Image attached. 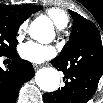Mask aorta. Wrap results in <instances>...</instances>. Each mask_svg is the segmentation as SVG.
Here are the masks:
<instances>
[{"label": "aorta", "instance_id": "obj_1", "mask_svg": "<svg viewBox=\"0 0 103 103\" xmlns=\"http://www.w3.org/2000/svg\"><path fill=\"white\" fill-rule=\"evenodd\" d=\"M44 26L51 27V24L47 18H38L31 25L33 29H37L39 34L43 32ZM35 81L40 89L46 92H53L59 87L60 75L55 68H42L37 71Z\"/></svg>", "mask_w": 103, "mask_h": 103}]
</instances>
